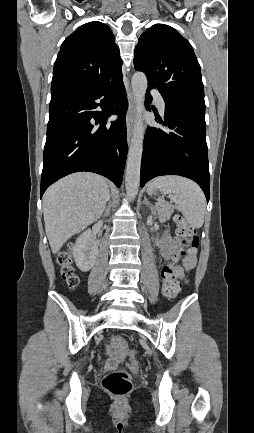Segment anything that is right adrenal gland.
Listing matches in <instances>:
<instances>
[{
	"mask_svg": "<svg viewBox=\"0 0 254 433\" xmlns=\"http://www.w3.org/2000/svg\"><path fill=\"white\" fill-rule=\"evenodd\" d=\"M110 210H111V202H109V205H108V207H107L106 210H105V214H104V216H108Z\"/></svg>",
	"mask_w": 254,
	"mask_h": 433,
	"instance_id": "1",
	"label": "right adrenal gland"
}]
</instances>
